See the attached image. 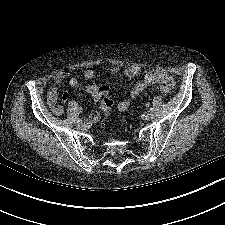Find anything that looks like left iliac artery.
I'll use <instances>...</instances> for the list:
<instances>
[{
	"mask_svg": "<svg viewBox=\"0 0 225 225\" xmlns=\"http://www.w3.org/2000/svg\"><path fill=\"white\" fill-rule=\"evenodd\" d=\"M150 111H153V108H150Z\"/></svg>",
	"mask_w": 225,
	"mask_h": 225,
	"instance_id": "obj_1",
	"label": "left iliac artery"
}]
</instances>
